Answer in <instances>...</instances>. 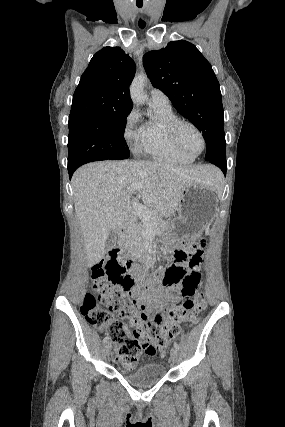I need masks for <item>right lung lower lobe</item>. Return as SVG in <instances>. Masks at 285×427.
<instances>
[{
  "instance_id": "obj_1",
  "label": "right lung lower lobe",
  "mask_w": 285,
  "mask_h": 427,
  "mask_svg": "<svg viewBox=\"0 0 285 427\" xmlns=\"http://www.w3.org/2000/svg\"><path fill=\"white\" fill-rule=\"evenodd\" d=\"M75 170H73V169H68V172H69V176H70V178H71V176H72V174H73V172H74Z\"/></svg>"
}]
</instances>
